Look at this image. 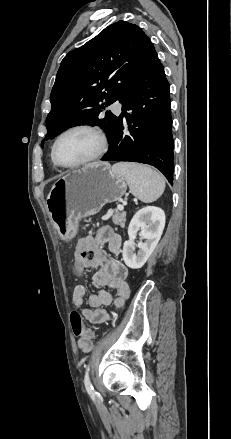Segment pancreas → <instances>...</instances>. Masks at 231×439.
Masks as SVG:
<instances>
[{"label":"pancreas","mask_w":231,"mask_h":439,"mask_svg":"<svg viewBox=\"0 0 231 439\" xmlns=\"http://www.w3.org/2000/svg\"><path fill=\"white\" fill-rule=\"evenodd\" d=\"M112 220H113V223L115 225H120V226L124 227L125 226V221H126V213L125 212H118L117 211L113 215Z\"/></svg>","instance_id":"obj_1"}]
</instances>
